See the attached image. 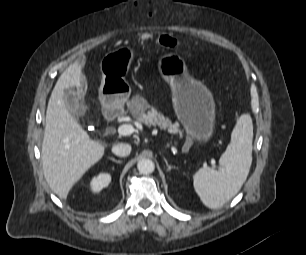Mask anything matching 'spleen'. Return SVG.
Segmentation results:
<instances>
[{
	"mask_svg": "<svg viewBox=\"0 0 306 255\" xmlns=\"http://www.w3.org/2000/svg\"><path fill=\"white\" fill-rule=\"evenodd\" d=\"M252 141L251 116L242 114L231 133V142L219 159V170L202 167L193 176L194 189L206 207L220 208L239 192L252 164Z\"/></svg>",
	"mask_w": 306,
	"mask_h": 255,
	"instance_id": "obj_1",
	"label": "spleen"
}]
</instances>
